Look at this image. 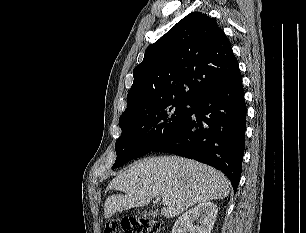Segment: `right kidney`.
I'll return each mask as SVG.
<instances>
[{
	"label": "right kidney",
	"mask_w": 306,
	"mask_h": 233,
	"mask_svg": "<svg viewBox=\"0 0 306 233\" xmlns=\"http://www.w3.org/2000/svg\"><path fill=\"white\" fill-rule=\"evenodd\" d=\"M217 213L214 203L202 202L176 220L172 233H211ZM195 221H198L197 226H194Z\"/></svg>",
	"instance_id": "ca27d5eb"
}]
</instances>
